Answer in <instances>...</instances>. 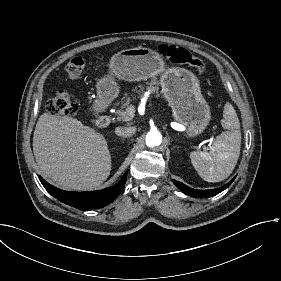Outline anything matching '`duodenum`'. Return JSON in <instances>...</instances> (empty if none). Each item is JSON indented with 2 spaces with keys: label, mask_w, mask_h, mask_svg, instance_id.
Wrapping results in <instances>:
<instances>
[{
  "label": "duodenum",
  "mask_w": 281,
  "mask_h": 281,
  "mask_svg": "<svg viewBox=\"0 0 281 281\" xmlns=\"http://www.w3.org/2000/svg\"><path fill=\"white\" fill-rule=\"evenodd\" d=\"M101 126H108L111 123V116L108 113H101L96 120Z\"/></svg>",
  "instance_id": "obj_1"
}]
</instances>
